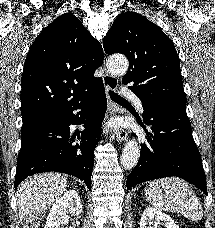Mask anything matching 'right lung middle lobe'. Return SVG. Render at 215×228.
<instances>
[{
    "label": "right lung middle lobe",
    "mask_w": 215,
    "mask_h": 228,
    "mask_svg": "<svg viewBox=\"0 0 215 228\" xmlns=\"http://www.w3.org/2000/svg\"><path fill=\"white\" fill-rule=\"evenodd\" d=\"M46 119H48V118H46ZM46 119H42V120H38V121H34V122H29V123H24V124L22 125L21 132H24V131H26V130L32 128L33 126H35V125H37V124L43 122V121L46 120Z\"/></svg>",
    "instance_id": "dd1d6c3e"
}]
</instances>
